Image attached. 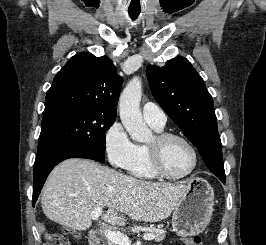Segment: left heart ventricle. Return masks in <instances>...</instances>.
Here are the masks:
<instances>
[{"label": "left heart ventricle", "instance_id": "1", "mask_svg": "<svg viewBox=\"0 0 266 245\" xmlns=\"http://www.w3.org/2000/svg\"><path fill=\"white\" fill-rule=\"evenodd\" d=\"M147 145H155L154 137ZM193 161L192 150L179 139H171L161 148L162 166L171 176L180 177L187 174L193 166Z\"/></svg>", "mask_w": 266, "mask_h": 245}]
</instances>
